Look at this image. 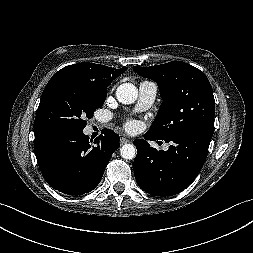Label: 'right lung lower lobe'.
I'll list each match as a JSON object with an SVG mask.
<instances>
[{"label":"right lung lower lobe","mask_w":253,"mask_h":253,"mask_svg":"<svg viewBox=\"0 0 253 253\" xmlns=\"http://www.w3.org/2000/svg\"><path fill=\"white\" fill-rule=\"evenodd\" d=\"M94 141L82 131L47 130L35 134L34 149L44 179L68 195L93 190L119 147V135L109 129Z\"/></svg>","instance_id":"obj_1"}]
</instances>
